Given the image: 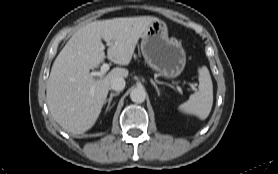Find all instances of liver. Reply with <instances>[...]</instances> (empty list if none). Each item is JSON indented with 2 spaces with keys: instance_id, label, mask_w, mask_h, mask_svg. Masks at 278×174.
I'll use <instances>...</instances> for the list:
<instances>
[{
  "instance_id": "liver-1",
  "label": "liver",
  "mask_w": 278,
  "mask_h": 174,
  "mask_svg": "<svg viewBox=\"0 0 278 174\" xmlns=\"http://www.w3.org/2000/svg\"><path fill=\"white\" fill-rule=\"evenodd\" d=\"M158 20L138 16L93 21L72 35L52 65L46 89L49 111L64 130L82 134L91 129L105 103L111 80L128 76V70L121 67L99 79L90 75V69L99 67L105 58L101 40L108 45L109 60L128 65L138 40Z\"/></svg>"
}]
</instances>
